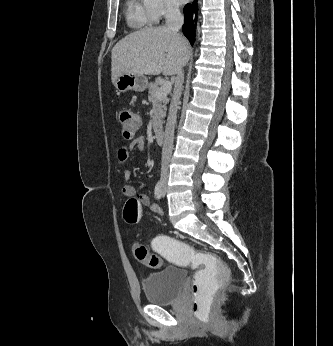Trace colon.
<instances>
[{
    "instance_id": "obj_1",
    "label": "colon",
    "mask_w": 333,
    "mask_h": 346,
    "mask_svg": "<svg viewBox=\"0 0 333 346\" xmlns=\"http://www.w3.org/2000/svg\"><path fill=\"white\" fill-rule=\"evenodd\" d=\"M122 135L125 140H131L140 127L137 115L129 109L119 113ZM123 217L127 224L133 225L140 218V202L136 198L127 200L123 209ZM151 241V253L142 243H134L135 258L145 266L158 269L163 265L159 256H163L174 268H189L196 271L191 286V305L195 315L202 310H210V299L217 294V288H226L231 278V270L224 264V257H216L210 253L198 252L192 244H184L183 240H175L168 233H154Z\"/></svg>"
}]
</instances>
